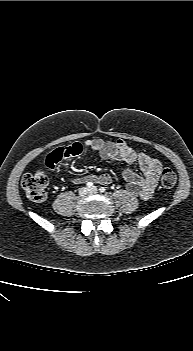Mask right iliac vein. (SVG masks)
Masks as SVG:
<instances>
[{
  "label": "right iliac vein",
  "instance_id": "obj_1",
  "mask_svg": "<svg viewBox=\"0 0 193 351\" xmlns=\"http://www.w3.org/2000/svg\"><path fill=\"white\" fill-rule=\"evenodd\" d=\"M88 193H89V189L86 188V187H82V188L79 190V196H80V197H84V196H86Z\"/></svg>",
  "mask_w": 193,
  "mask_h": 351
}]
</instances>
